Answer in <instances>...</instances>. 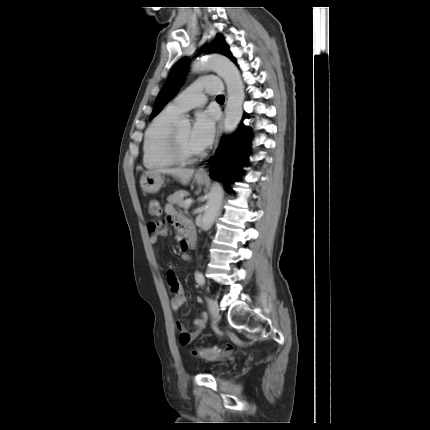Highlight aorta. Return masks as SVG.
I'll use <instances>...</instances> for the list:
<instances>
[{"instance_id":"obj_1","label":"aorta","mask_w":430,"mask_h":430,"mask_svg":"<svg viewBox=\"0 0 430 430\" xmlns=\"http://www.w3.org/2000/svg\"><path fill=\"white\" fill-rule=\"evenodd\" d=\"M192 67L196 71H214L221 76L227 86L228 100L225 108L224 131L232 133L237 128L243 114L245 99L244 84L238 68L226 57L217 54H209L204 59L195 60ZM180 125L189 126L188 119H182ZM224 197L223 187L216 183L212 186L205 212L202 216V229L208 230L213 225L218 215Z\"/></svg>"}]
</instances>
